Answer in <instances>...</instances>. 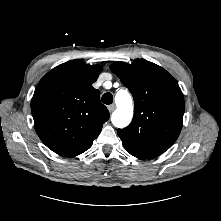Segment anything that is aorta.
Wrapping results in <instances>:
<instances>
[{
  "label": "aorta",
  "mask_w": 221,
  "mask_h": 221,
  "mask_svg": "<svg viewBox=\"0 0 221 221\" xmlns=\"http://www.w3.org/2000/svg\"><path fill=\"white\" fill-rule=\"evenodd\" d=\"M115 103L117 108L112 114V123L117 128H124L130 124L133 117L132 98L126 90H123L116 94Z\"/></svg>",
  "instance_id": "762f6f07"
}]
</instances>
